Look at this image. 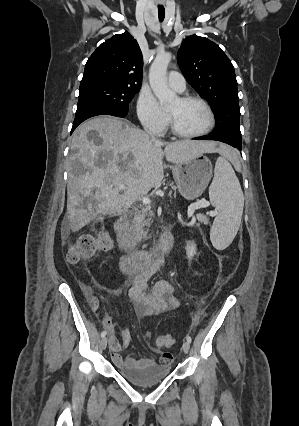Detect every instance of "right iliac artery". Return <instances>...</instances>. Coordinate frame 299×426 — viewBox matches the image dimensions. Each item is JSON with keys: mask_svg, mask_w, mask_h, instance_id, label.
Masks as SVG:
<instances>
[{"mask_svg": "<svg viewBox=\"0 0 299 426\" xmlns=\"http://www.w3.org/2000/svg\"><path fill=\"white\" fill-rule=\"evenodd\" d=\"M105 335H106V331L104 330V331H102V333H101V337L103 338V337H105Z\"/></svg>", "mask_w": 299, "mask_h": 426, "instance_id": "82829eb1", "label": "right iliac artery"}]
</instances>
